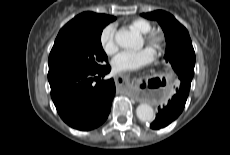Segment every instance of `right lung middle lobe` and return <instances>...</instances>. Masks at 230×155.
I'll use <instances>...</instances> for the list:
<instances>
[{"mask_svg": "<svg viewBox=\"0 0 230 155\" xmlns=\"http://www.w3.org/2000/svg\"><path fill=\"white\" fill-rule=\"evenodd\" d=\"M107 24L87 34L58 35L49 55V73L104 67L108 58L101 45V33Z\"/></svg>", "mask_w": 230, "mask_h": 155, "instance_id": "dd1d6c3e", "label": "right lung middle lobe"}]
</instances>
